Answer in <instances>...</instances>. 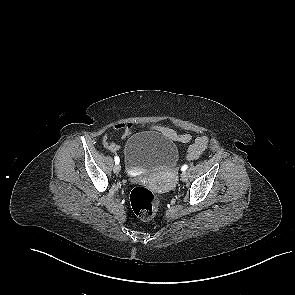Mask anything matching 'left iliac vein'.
I'll list each match as a JSON object with an SVG mask.
<instances>
[{
    "mask_svg": "<svg viewBox=\"0 0 295 295\" xmlns=\"http://www.w3.org/2000/svg\"><path fill=\"white\" fill-rule=\"evenodd\" d=\"M188 179V173L186 171H183L181 174V180L186 181Z\"/></svg>",
    "mask_w": 295,
    "mask_h": 295,
    "instance_id": "left-iliac-vein-1",
    "label": "left iliac vein"
}]
</instances>
